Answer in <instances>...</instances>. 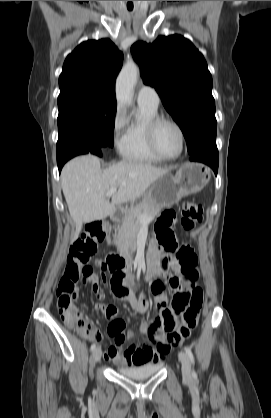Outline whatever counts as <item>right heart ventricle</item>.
<instances>
[{"mask_svg":"<svg viewBox=\"0 0 271 418\" xmlns=\"http://www.w3.org/2000/svg\"><path fill=\"white\" fill-rule=\"evenodd\" d=\"M157 115V108L139 104L138 119L127 122L125 125L120 146V153L123 158L146 163H160L163 161L153 153L147 140V125Z\"/></svg>","mask_w":271,"mask_h":418,"instance_id":"obj_1","label":"right heart ventricle"}]
</instances>
